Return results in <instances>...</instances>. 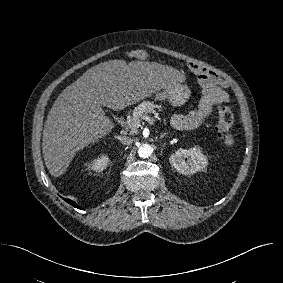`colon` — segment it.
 <instances>
[{"label": "colon", "mask_w": 283, "mask_h": 283, "mask_svg": "<svg viewBox=\"0 0 283 283\" xmlns=\"http://www.w3.org/2000/svg\"><path fill=\"white\" fill-rule=\"evenodd\" d=\"M132 56L139 59H145L148 57L147 53L142 50H135L132 52ZM218 124L216 131L221 139H226L231 131L233 124V114L231 110L226 106H219L217 108Z\"/></svg>", "instance_id": "colon-1"}]
</instances>
